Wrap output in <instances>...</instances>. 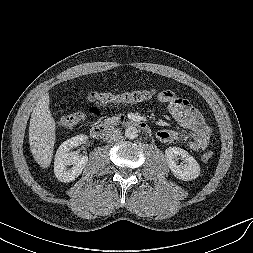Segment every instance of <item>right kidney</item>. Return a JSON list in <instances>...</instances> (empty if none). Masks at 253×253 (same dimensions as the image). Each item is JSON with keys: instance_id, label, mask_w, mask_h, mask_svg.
Here are the masks:
<instances>
[{"instance_id": "ca27d5eb", "label": "right kidney", "mask_w": 253, "mask_h": 253, "mask_svg": "<svg viewBox=\"0 0 253 253\" xmlns=\"http://www.w3.org/2000/svg\"><path fill=\"white\" fill-rule=\"evenodd\" d=\"M86 135H78L64 141L57 149L54 160V173L56 178L64 183L74 181L85 168L88 157L70 152L73 147L79 146L87 140ZM73 165L70 169L67 166Z\"/></svg>"}]
</instances>
